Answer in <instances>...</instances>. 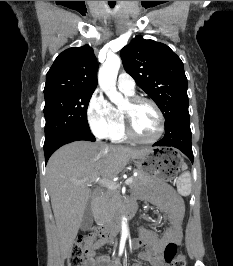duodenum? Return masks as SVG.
<instances>
[{
	"instance_id": "410a0bca",
	"label": "duodenum",
	"mask_w": 233,
	"mask_h": 266,
	"mask_svg": "<svg viewBox=\"0 0 233 266\" xmlns=\"http://www.w3.org/2000/svg\"><path fill=\"white\" fill-rule=\"evenodd\" d=\"M100 192L94 191L93 193V205L94 207L97 206L98 200H99ZM136 212V208L134 204H127L123 208V213L127 217H132ZM118 228L116 226H113L111 224H100L94 228V232L98 234L103 240L111 243L113 241V238L117 232Z\"/></svg>"
}]
</instances>
